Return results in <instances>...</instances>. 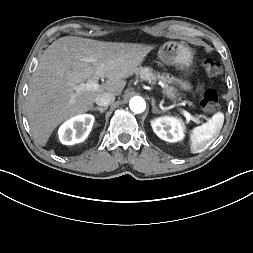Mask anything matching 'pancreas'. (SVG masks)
I'll list each match as a JSON object with an SVG mask.
<instances>
[{
	"instance_id": "1",
	"label": "pancreas",
	"mask_w": 253,
	"mask_h": 253,
	"mask_svg": "<svg viewBox=\"0 0 253 253\" xmlns=\"http://www.w3.org/2000/svg\"><path fill=\"white\" fill-rule=\"evenodd\" d=\"M141 80L147 81L150 84H155L156 82L163 83V93L172 101H180V94L177 89L170 86L172 82L175 81L174 77H170L168 73H160L154 71L152 68L140 67L136 73Z\"/></svg>"
}]
</instances>
